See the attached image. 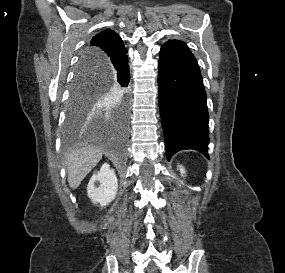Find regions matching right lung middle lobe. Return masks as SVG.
Returning <instances> with one entry per match:
<instances>
[{
	"label": "right lung middle lobe",
	"mask_w": 285,
	"mask_h": 273,
	"mask_svg": "<svg viewBox=\"0 0 285 273\" xmlns=\"http://www.w3.org/2000/svg\"><path fill=\"white\" fill-rule=\"evenodd\" d=\"M110 94L124 99L126 90L113 85L100 71L82 68L79 65L71 86L66 118L67 128L71 130L78 126L92 105Z\"/></svg>",
	"instance_id": "1"
}]
</instances>
